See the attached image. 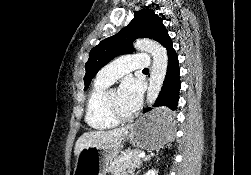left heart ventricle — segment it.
Here are the masks:
<instances>
[{
    "mask_svg": "<svg viewBox=\"0 0 251 175\" xmlns=\"http://www.w3.org/2000/svg\"><path fill=\"white\" fill-rule=\"evenodd\" d=\"M109 103L113 111L121 114H126L127 112L122 108L119 101V91L117 89L111 90L109 93Z\"/></svg>",
    "mask_w": 251,
    "mask_h": 175,
    "instance_id": "1",
    "label": "left heart ventricle"
}]
</instances>
